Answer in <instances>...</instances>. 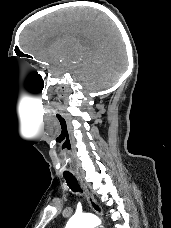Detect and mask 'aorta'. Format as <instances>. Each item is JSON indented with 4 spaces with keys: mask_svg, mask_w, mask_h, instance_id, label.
Here are the masks:
<instances>
[{
    "mask_svg": "<svg viewBox=\"0 0 171 228\" xmlns=\"http://www.w3.org/2000/svg\"><path fill=\"white\" fill-rule=\"evenodd\" d=\"M100 223L92 214L75 215L69 219L65 228H95Z\"/></svg>",
    "mask_w": 171,
    "mask_h": 228,
    "instance_id": "aorta-1",
    "label": "aorta"
}]
</instances>
